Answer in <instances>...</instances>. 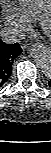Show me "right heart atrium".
Listing matches in <instances>:
<instances>
[{
    "mask_svg": "<svg viewBox=\"0 0 51 153\" xmlns=\"http://www.w3.org/2000/svg\"><path fill=\"white\" fill-rule=\"evenodd\" d=\"M3 18L6 24L17 34L22 35L31 28L30 21L25 17L21 9H8Z\"/></svg>",
    "mask_w": 51,
    "mask_h": 153,
    "instance_id": "right-heart-atrium-1",
    "label": "right heart atrium"
}]
</instances>
